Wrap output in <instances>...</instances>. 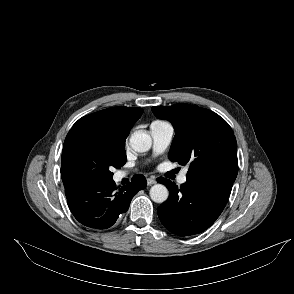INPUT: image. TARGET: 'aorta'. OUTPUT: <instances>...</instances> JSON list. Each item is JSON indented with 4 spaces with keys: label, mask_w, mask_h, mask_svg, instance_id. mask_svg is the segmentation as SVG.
I'll return each mask as SVG.
<instances>
[{
    "label": "aorta",
    "mask_w": 294,
    "mask_h": 294,
    "mask_svg": "<svg viewBox=\"0 0 294 294\" xmlns=\"http://www.w3.org/2000/svg\"><path fill=\"white\" fill-rule=\"evenodd\" d=\"M152 139L144 132H136L130 137V146L136 152H146L151 148ZM168 189L162 184H155L150 189V197L156 203H163L168 198Z\"/></svg>",
    "instance_id": "762f6f07"
}]
</instances>
